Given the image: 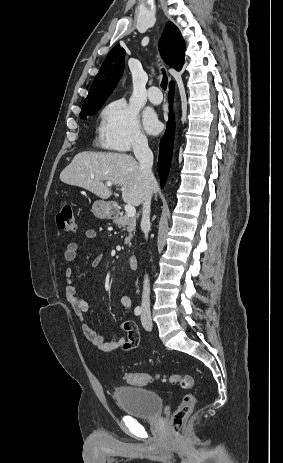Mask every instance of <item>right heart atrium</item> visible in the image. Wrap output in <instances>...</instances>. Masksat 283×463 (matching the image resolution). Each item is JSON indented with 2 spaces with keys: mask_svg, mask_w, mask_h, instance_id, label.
Here are the masks:
<instances>
[{
  "mask_svg": "<svg viewBox=\"0 0 283 463\" xmlns=\"http://www.w3.org/2000/svg\"><path fill=\"white\" fill-rule=\"evenodd\" d=\"M100 143L107 148L128 151L147 147L138 111L123 99L107 104L101 113Z\"/></svg>",
  "mask_w": 283,
  "mask_h": 463,
  "instance_id": "right-heart-atrium-1",
  "label": "right heart atrium"
}]
</instances>
